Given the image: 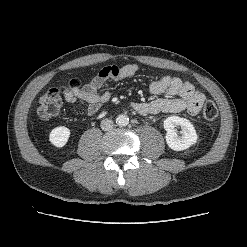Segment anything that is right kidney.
Returning a JSON list of instances; mask_svg holds the SVG:
<instances>
[{"label": "right kidney", "mask_w": 247, "mask_h": 247, "mask_svg": "<svg viewBox=\"0 0 247 247\" xmlns=\"http://www.w3.org/2000/svg\"><path fill=\"white\" fill-rule=\"evenodd\" d=\"M69 137H70V130L65 126H60L54 128L51 131L49 135V140L54 146L61 148L66 145Z\"/></svg>", "instance_id": "ca27d5eb"}]
</instances>
